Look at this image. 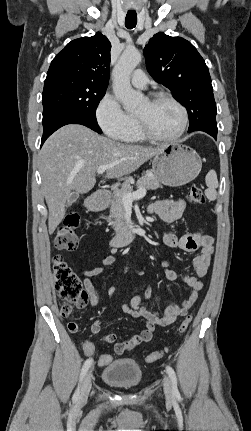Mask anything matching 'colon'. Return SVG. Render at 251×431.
Here are the masks:
<instances>
[{
	"label": "colon",
	"mask_w": 251,
	"mask_h": 431,
	"mask_svg": "<svg viewBox=\"0 0 251 431\" xmlns=\"http://www.w3.org/2000/svg\"><path fill=\"white\" fill-rule=\"evenodd\" d=\"M188 199L191 204L202 205L205 203V196L202 189L197 185H192L188 192ZM79 217L75 214L66 217L64 222L58 227L55 236V246L60 250H74L78 245L77 228ZM53 277L55 288L61 299L65 302L61 307L62 316H68L72 312L73 306L78 308L84 307L88 302V295L83 289L82 283L69 265L59 256L53 259ZM192 316H187L179 327L181 334L185 333L190 326ZM77 324L71 322L68 324L69 330H75ZM95 344L86 339L83 342L82 350L87 359H93L96 356L95 367L103 370L106 365H110L114 360L113 353L96 352ZM167 350L156 351L146 357L148 363L161 359Z\"/></svg>",
	"instance_id": "colon-1"
}]
</instances>
